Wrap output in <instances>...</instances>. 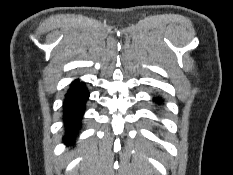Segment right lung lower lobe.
I'll return each mask as SVG.
<instances>
[{
  "label": "right lung lower lobe",
  "instance_id": "1",
  "mask_svg": "<svg viewBox=\"0 0 233 175\" xmlns=\"http://www.w3.org/2000/svg\"><path fill=\"white\" fill-rule=\"evenodd\" d=\"M89 91L84 82L75 80L65 95L63 116L65 121V135L63 142L66 145L74 144L76 134L81 126V119L86 109Z\"/></svg>",
  "mask_w": 233,
  "mask_h": 175
}]
</instances>
